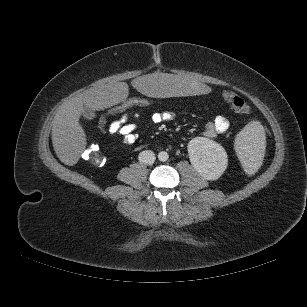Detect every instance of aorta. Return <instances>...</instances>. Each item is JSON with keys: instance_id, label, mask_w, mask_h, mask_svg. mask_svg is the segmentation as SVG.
I'll use <instances>...</instances> for the list:
<instances>
[{"instance_id": "762f6f07", "label": "aorta", "mask_w": 307, "mask_h": 307, "mask_svg": "<svg viewBox=\"0 0 307 307\" xmlns=\"http://www.w3.org/2000/svg\"><path fill=\"white\" fill-rule=\"evenodd\" d=\"M169 158V154L166 151H161L158 153V159L161 162L167 161Z\"/></svg>"}]
</instances>
